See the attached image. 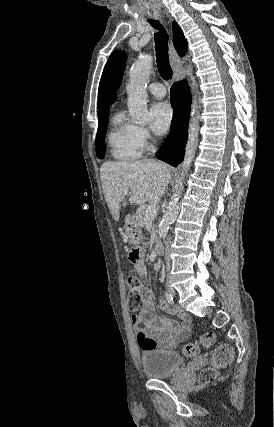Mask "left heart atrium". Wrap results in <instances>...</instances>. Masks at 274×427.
I'll list each match as a JSON object with an SVG mask.
<instances>
[{
    "mask_svg": "<svg viewBox=\"0 0 274 427\" xmlns=\"http://www.w3.org/2000/svg\"><path fill=\"white\" fill-rule=\"evenodd\" d=\"M151 129L157 135H163L169 128L172 120V109L165 101L155 103L151 108Z\"/></svg>",
    "mask_w": 274,
    "mask_h": 427,
    "instance_id": "obj_1",
    "label": "left heart atrium"
}]
</instances>
